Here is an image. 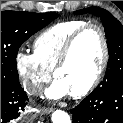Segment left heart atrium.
<instances>
[{
    "label": "left heart atrium",
    "mask_w": 123,
    "mask_h": 123,
    "mask_svg": "<svg viewBox=\"0 0 123 123\" xmlns=\"http://www.w3.org/2000/svg\"><path fill=\"white\" fill-rule=\"evenodd\" d=\"M69 93L68 89L60 80H55L47 90V96L52 99L62 98Z\"/></svg>",
    "instance_id": "1"
}]
</instances>
